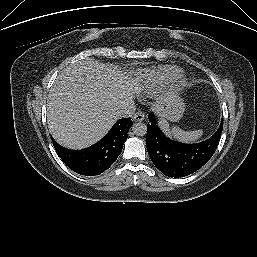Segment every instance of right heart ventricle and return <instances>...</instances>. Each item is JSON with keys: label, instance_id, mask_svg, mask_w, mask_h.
<instances>
[{"label": "right heart ventricle", "instance_id": "1", "mask_svg": "<svg viewBox=\"0 0 257 257\" xmlns=\"http://www.w3.org/2000/svg\"><path fill=\"white\" fill-rule=\"evenodd\" d=\"M178 69L172 65H163L150 69L144 76V91L154 94L164 88L177 73Z\"/></svg>", "mask_w": 257, "mask_h": 257}]
</instances>
